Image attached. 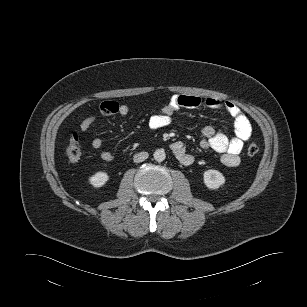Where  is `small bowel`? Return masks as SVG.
Masks as SVG:
<instances>
[{
    "label": "small bowel",
    "mask_w": 307,
    "mask_h": 307,
    "mask_svg": "<svg viewBox=\"0 0 307 307\" xmlns=\"http://www.w3.org/2000/svg\"><path fill=\"white\" fill-rule=\"evenodd\" d=\"M199 106L225 111L233 117L235 137L228 138L223 132H218L211 126H206L201 131L200 146L203 149H212L220 153L221 161L224 165L228 167L238 166L240 163L239 154L244 142L250 138L252 128L246 115L233 102L215 98H201L194 95H174L160 113L149 118V127L154 130L166 127L171 123L173 114L180 108H196ZM100 112L105 116L114 114L126 116L130 113V107L127 104H119L115 101H105L100 105ZM95 120V116L84 118L80 123V130L83 132L88 131ZM92 147L98 151L103 161H113V154L103 148V141L100 138H95L92 141ZM171 150L183 165H190L194 160L193 155L187 151L181 141L172 143Z\"/></svg>",
    "instance_id": "small-bowel-1"
}]
</instances>
